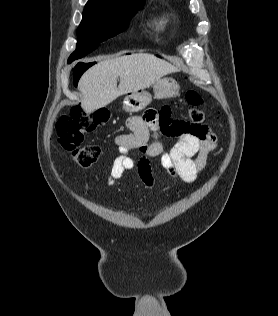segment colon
I'll return each mask as SVG.
<instances>
[{
	"mask_svg": "<svg viewBox=\"0 0 278 316\" xmlns=\"http://www.w3.org/2000/svg\"><path fill=\"white\" fill-rule=\"evenodd\" d=\"M186 101L191 106L188 111L190 121L176 123L170 131L173 135L181 132L201 133L211 118L210 114L201 108L203 100L197 91H188ZM107 119L108 115L104 111L87 113L80 106H74L68 114L58 120L56 129L58 141L64 149L73 153L79 166L90 167L99 159L101 150L98 146H82V143L86 134L102 126Z\"/></svg>",
	"mask_w": 278,
	"mask_h": 316,
	"instance_id": "1",
	"label": "colon"
}]
</instances>
